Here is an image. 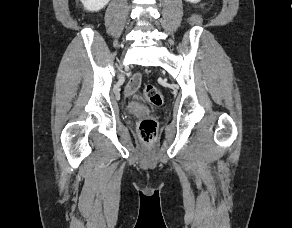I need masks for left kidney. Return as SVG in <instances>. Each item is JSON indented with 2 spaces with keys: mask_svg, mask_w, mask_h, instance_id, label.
<instances>
[{
  "mask_svg": "<svg viewBox=\"0 0 292 228\" xmlns=\"http://www.w3.org/2000/svg\"><path fill=\"white\" fill-rule=\"evenodd\" d=\"M187 2H190V3H197L199 2L200 0H186Z\"/></svg>",
  "mask_w": 292,
  "mask_h": 228,
  "instance_id": "obj_1",
  "label": "left kidney"
}]
</instances>
